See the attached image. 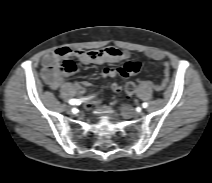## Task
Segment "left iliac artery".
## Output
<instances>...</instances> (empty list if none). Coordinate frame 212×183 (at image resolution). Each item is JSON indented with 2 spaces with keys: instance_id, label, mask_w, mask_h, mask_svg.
Segmentation results:
<instances>
[{
  "instance_id": "left-iliac-artery-1",
  "label": "left iliac artery",
  "mask_w": 212,
  "mask_h": 183,
  "mask_svg": "<svg viewBox=\"0 0 212 183\" xmlns=\"http://www.w3.org/2000/svg\"><path fill=\"white\" fill-rule=\"evenodd\" d=\"M142 107H143V108H147V107H148V103H146V102L143 103V104H142Z\"/></svg>"
}]
</instances>
